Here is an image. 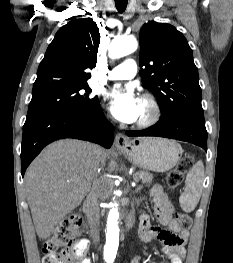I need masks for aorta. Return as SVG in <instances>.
I'll list each match as a JSON object with an SVG mask.
<instances>
[{
	"mask_svg": "<svg viewBox=\"0 0 233 263\" xmlns=\"http://www.w3.org/2000/svg\"><path fill=\"white\" fill-rule=\"evenodd\" d=\"M137 47L138 43L134 37H117L110 44L109 57L112 59L121 58L136 51ZM113 195L107 219L106 244L104 247V255L108 260L114 259L119 245V212L118 202L116 201L118 193L113 191Z\"/></svg>",
	"mask_w": 233,
	"mask_h": 263,
	"instance_id": "obj_1",
	"label": "aorta"
}]
</instances>
